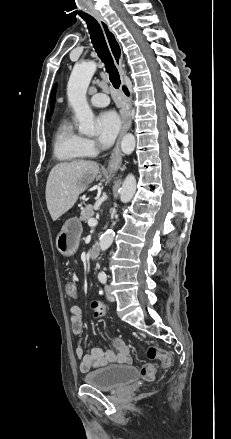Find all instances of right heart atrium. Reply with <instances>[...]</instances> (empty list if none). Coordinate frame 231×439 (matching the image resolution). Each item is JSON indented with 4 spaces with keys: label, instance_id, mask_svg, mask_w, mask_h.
I'll use <instances>...</instances> for the list:
<instances>
[{
    "label": "right heart atrium",
    "instance_id": "1",
    "mask_svg": "<svg viewBox=\"0 0 231 439\" xmlns=\"http://www.w3.org/2000/svg\"><path fill=\"white\" fill-rule=\"evenodd\" d=\"M82 147L86 155H94L97 152V146L94 140L82 138Z\"/></svg>",
    "mask_w": 231,
    "mask_h": 439
}]
</instances>
